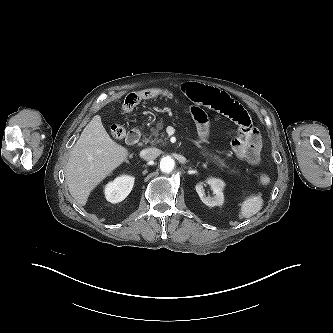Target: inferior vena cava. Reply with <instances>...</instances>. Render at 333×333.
Wrapping results in <instances>:
<instances>
[{
  "label": "inferior vena cava",
  "instance_id": "1",
  "mask_svg": "<svg viewBox=\"0 0 333 333\" xmlns=\"http://www.w3.org/2000/svg\"><path fill=\"white\" fill-rule=\"evenodd\" d=\"M161 154L157 148H146L141 151L140 156L145 160H154Z\"/></svg>",
  "mask_w": 333,
  "mask_h": 333
}]
</instances>
